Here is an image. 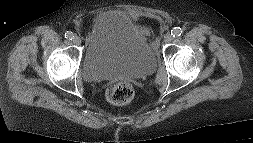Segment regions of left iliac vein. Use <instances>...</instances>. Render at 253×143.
Masks as SVG:
<instances>
[{
	"mask_svg": "<svg viewBox=\"0 0 253 143\" xmlns=\"http://www.w3.org/2000/svg\"><path fill=\"white\" fill-rule=\"evenodd\" d=\"M172 40H173V36L170 33H168L164 36L165 43H170V42H172Z\"/></svg>",
	"mask_w": 253,
	"mask_h": 143,
	"instance_id": "1",
	"label": "left iliac vein"
}]
</instances>
